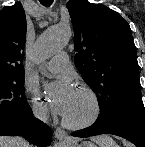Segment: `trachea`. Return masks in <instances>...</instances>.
Listing matches in <instances>:
<instances>
[{
  "mask_svg": "<svg viewBox=\"0 0 145 147\" xmlns=\"http://www.w3.org/2000/svg\"><path fill=\"white\" fill-rule=\"evenodd\" d=\"M40 3L45 7H49L53 3V0H41Z\"/></svg>",
  "mask_w": 145,
  "mask_h": 147,
  "instance_id": "obj_1",
  "label": "trachea"
}]
</instances>
